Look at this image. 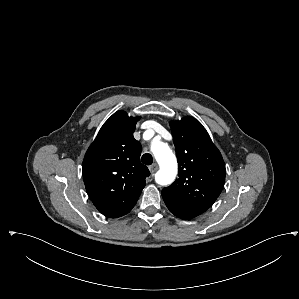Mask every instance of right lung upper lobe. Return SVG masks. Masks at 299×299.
<instances>
[{
    "instance_id": "obj_1",
    "label": "right lung upper lobe",
    "mask_w": 299,
    "mask_h": 299,
    "mask_svg": "<svg viewBox=\"0 0 299 299\" xmlns=\"http://www.w3.org/2000/svg\"><path fill=\"white\" fill-rule=\"evenodd\" d=\"M139 117L122 110L101 127L83 160L86 191L96 208L106 217L127 214L143 190L148 168L140 163L141 144L133 132Z\"/></svg>"
}]
</instances>
